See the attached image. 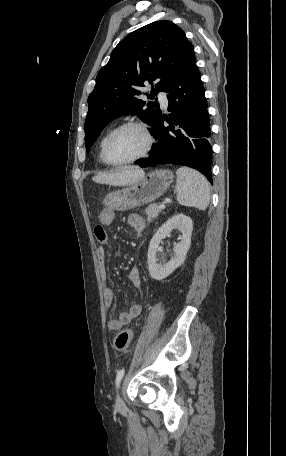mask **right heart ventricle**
Returning <instances> with one entry per match:
<instances>
[{"label":"right heart ventricle","instance_id":"e07e8e85","mask_svg":"<svg viewBox=\"0 0 286 456\" xmlns=\"http://www.w3.org/2000/svg\"><path fill=\"white\" fill-rule=\"evenodd\" d=\"M114 127H110L109 129L106 130V132L103 134L101 140H100V143H99V159L102 163L106 164L105 161L103 160V156H102V150H103V145H104V141L106 139V137L108 136V134L111 132V130L113 129Z\"/></svg>","mask_w":286,"mask_h":456}]
</instances>
